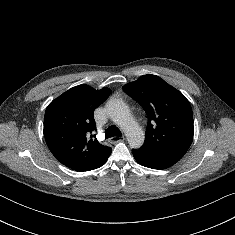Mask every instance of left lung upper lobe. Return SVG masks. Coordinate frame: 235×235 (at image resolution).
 I'll return each instance as SVG.
<instances>
[{"label": "left lung upper lobe", "instance_id": "1", "mask_svg": "<svg viewBox=\"0 0 235 235\" xmlns=\"http://www.w3.org/2000/svg\"><path fill=\"white\" fill-rule=\"evenodd\" d=\"M123 90L146 111L143 147L183 156L193 140V113L187 98L156 75H143Z\"/></svg>", "mask_w": 235, "mask_h": 235}]
</instances>
